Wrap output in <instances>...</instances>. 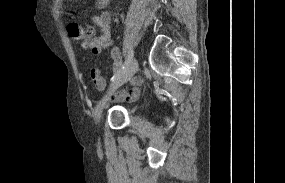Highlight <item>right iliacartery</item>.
<instances>
[{"mask_svg":"<svg viewBox=\"0 0 285 183\" xmlns=\"http://www.w3.org/2000/svg\"><path fill=\"white\" fill-rule=\"evenodd\" d=\"M132 59H133V52L129 51L124 65L122 66L121 70L111 78L112 81H114L116 78L120 77L125 72V70L128 68V66L131 64Z\"/></svg>","mask_w":285,"mask_h":183,"instance_id":"obj_1","label":"right iliac artery"}]
</instances>
